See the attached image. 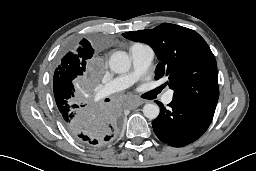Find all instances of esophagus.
<instances>
[{"label":"esophagus","instance_id":"esophagus-1","mask_svg":"<svg viewBox=\"0 0 256 171\" xmlns=\"http://www.w3.org/2000/svg\"><path fill=\"white\" fill-rule=\"evenodd\" d=\"M143 103L144 102L142 100H131V101L127 102V108L128 109H136Z\"/></svg>","mask_w":256,"mask_h":171}]
</instances>
